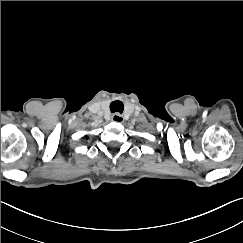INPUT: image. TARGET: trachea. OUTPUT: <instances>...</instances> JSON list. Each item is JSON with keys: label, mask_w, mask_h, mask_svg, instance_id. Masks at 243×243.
<instances>
[{"label": "trachea", "mask_w": 243, "mask_h": 243, "mask_svg": "<svg viewBox=\"0 0 243 243\" xmlns=\"http://www.w3.org/2000/svg\"><path fill=\"white\" fill-rule=\"evenodd\" d=\"M110 110L112 113L114 112L122 113L124 110V105L120 100H115L111 103Z\"/></svg>", "instance_id": "3493384b"}]
</instances>
